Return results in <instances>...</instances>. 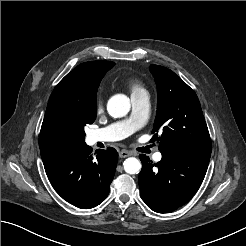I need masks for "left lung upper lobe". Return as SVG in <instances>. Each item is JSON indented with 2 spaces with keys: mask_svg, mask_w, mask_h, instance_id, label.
Segmentation results:
<instances>
[{
  "mask_svg": "<svg viewBox=\"0 0 246 246\" xmlns=\"http://www.w3.org/2000/svg\"><path fill=\"white\" fill-rule=\"evenodd\" d=\"M158 92L157 114L151 142L159 150H194L211 152L212 144L201 106L195 92L173 71L150 65Z\"/></svg>",
  "mask_w": 246,
  "mask_h": 246,
  "instance_id": "1",
  "label": "left lung upper lobe"
}]
</instances>
